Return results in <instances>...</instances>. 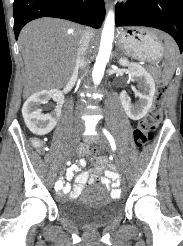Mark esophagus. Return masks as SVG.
Instances as JSON below:
<instances>
[{
    "label": "esophagus",
    "instance_id": "34e87169",
    "mask_svg": "<svg viewBox=\"0 0 183 246\" xmlns=\"http://www.w3.org/2000/svg\"><path fill=\"white\" fill-rule=\"evenodd\" d=\"M104 1H105L106 5L108 6L110 3V0H104Z\"/></svg>",
    "mask_w": 183,
    "mask_h": 246
}]
</instances>
